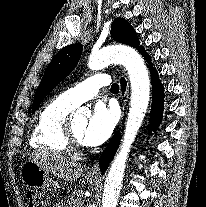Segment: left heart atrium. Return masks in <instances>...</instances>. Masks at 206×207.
<instances>
[{"label": "left heart atrium", "mask_w": 206, "mask_h": 207, "mask_svg": "<svg viewBox=\"0 0 206 207\" xmlns=\"http://www.w3.org/2000/svg\"><path fill=\"white\" fill-rule=\"evenodd\" d=\"M117 120L118 112L115 107L97 103L83 132V143L88 146L104 143L112 134Z\"/></svg>", "instance_id": "39dd6f15"}]
</instances>
